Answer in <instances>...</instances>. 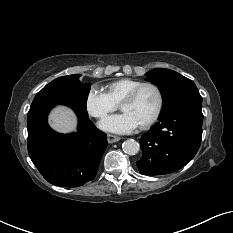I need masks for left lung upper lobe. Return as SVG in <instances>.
Listing matches in <instances>:
<instances>
[{"mask_svg":"<svg viewBox=\"0 0 233 233\" xmlns=\"http://www.w3.org/2000/svg\"><path fill=\"white\" fill-rule=\"evenodd\" d=\"M146 76L160 88L164 99L162 113L181 104L202 102L194 82L173 70L153 69Z\"/></svg>","mask_w":233,"mask_h":233,"instance_id":"5c2ea615","label":"left lung upper lobe"}]
</instances>
